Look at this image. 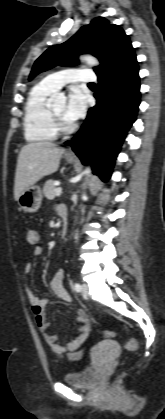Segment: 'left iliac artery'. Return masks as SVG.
<instances>
[{
	"label": "left iliac artery",
	"mask_w": 165,
	"mask_h": 419,
	"mask_svg": "<svg viewBox=\"0 0 165 419\" xmlns=\"http://www.w3.org/2000/svg\"><path fill=\"white\" fill-rule=\"evenodd\" d=\"M74 289H75V291L80 292L81 291V285L79 283H75Z\"/></svg>",
	"instance_id": "left-iliac-artery-1"
}]
</instances>
